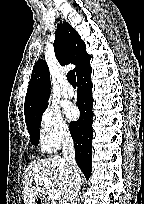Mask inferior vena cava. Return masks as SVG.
Here are the masks:
<instances>
[{
	"label": "inferior vena cava",
	"instance_id": "obj_1",
	"mask_svg": "<svg viewBox=\"0 0 144 204\" xmlns=\"http://www.w3.org/2000/svg\"><path fill=\"white\" fill-rule=\"evenodd\" d=\"M63 159L67 166V174L69 176V188L66 195L63 197L61 204H75L80 186H81V171L75 161V149L73 139L70 134L63 136L62 140Z\"/></svg>",
	"mask_w": 144,
	"mask_h": 204
}]
</instances>
